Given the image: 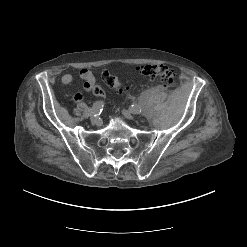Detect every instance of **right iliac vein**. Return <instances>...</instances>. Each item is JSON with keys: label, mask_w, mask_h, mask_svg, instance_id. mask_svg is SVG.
Segmentation results:
<instances>
[{"label": "right iliac vein", "mask_w": 247, "mask_h": 247, "mask_svg": "<svg viewBox=\"0 0 247 247\" xmlns=\"http://www.w3.org/2000/svg\"><path fill=\"white\" fill-rule=\"evenodd\" d=\"M89 115H90V118L92 121H94L96 123L98 122V119L94 116V114L92 112H90Z\"/></svg>", "instance_id": "obj_1"}]
</instances>
